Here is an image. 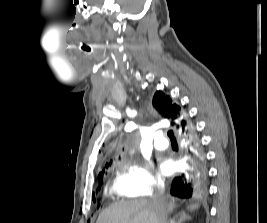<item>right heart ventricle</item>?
<instances>
[{
  "label": "right heart ventricle",
  "mask_w": 267,
  "mask_h": 223,
  "mask_svg": "<svg viewBox=\"0 0 267 223\" xmlns=\"http://www.w3.org/2000/svg\"><path fill=\"white\" fill-rule=\"evenodd\" d=\"M106 195L108 197H120V196H125L124 192L120 190V188L117 185V181L115 180L105 191Z\"/></svg>",
  "instance_id": "right-heart-ventricle-1"
}]
</instances>
